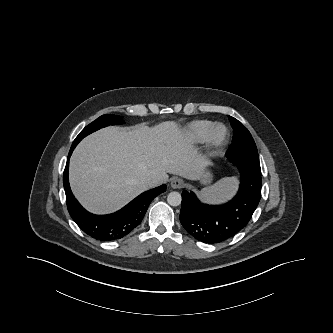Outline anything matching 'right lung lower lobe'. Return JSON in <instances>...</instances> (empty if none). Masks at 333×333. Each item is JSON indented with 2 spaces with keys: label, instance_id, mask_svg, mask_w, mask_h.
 Listing matches in <instances>:
<instances>
[{
  "label": "right lung lower lobe",
  "instance_id": "right-lung-lower-lobe-1",
  "mask_svg": "<svg viewBox=\"0 0 333 333\" xmlns=\"http://www.w3.org/2000/svg\"><path fill=\"white\" fill-rule=\"evenodd\" d=\"M75 147L76 145L71 146L63 174V185L70 216L87 235L97 240L114 241L126 236L141 223L149 204L159 193L166 191V185H161L140 194L115 213L108 215L91 214L79 204L69 185V158Z\"/></svg>",
  "mask_w": 333,
  "mask_h": 333
}]
</instances>
